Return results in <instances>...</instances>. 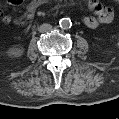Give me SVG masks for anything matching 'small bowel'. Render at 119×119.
I'll list each match as a JSON object with an SVG mask.
<instances>
[{
  "label": "small bowel",
  "mask_w": 119,
  "mask_h": 119,
  "mask_svg": "<svg viewBox=\"0 0 119 119\" xmlns=\"http://www.w3.org/2000/svg\"><path fill=\"white\" fill-rule=\"evenodd\" d=\"M11 6H17L23 4V0H8ZM45 3L43 0L31 1L27 6L25 13L20 17H13L8 14H2V20L6 24L25 25L33 17L34 12ZM88 8L94 11L96 16H87L83 18V23L90 29H97L101 26L108 25L114 18L113 10L109 7H105L100 1L90 0L87 2ZM97 6L100 8L96 9Z\"/></svg>",
  "instance_id": "obj_1"
}]
</instances>
